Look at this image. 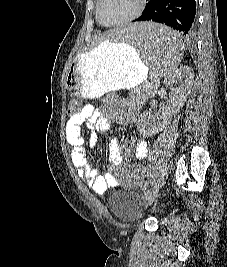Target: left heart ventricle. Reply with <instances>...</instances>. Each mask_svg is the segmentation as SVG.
Here are the masks:
<instances>
[{"instance_id": "1", "label": "left heart ventricle", "mask_w": 227, "mask_h": 267, "mask_svg": "<svg viewBox=\"0 0 227 267\" xmlns=\"http://www.w3.org/2000/svg\"><path fill=\"white\" fill-rule=\"evenodd\" d=\"M138 6V0H103L101 5L102 19L115 22L131 15Z\"/></svg>"}]
</instances>
